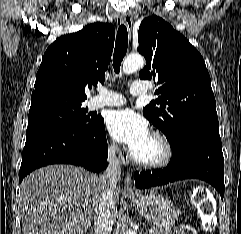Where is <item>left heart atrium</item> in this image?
Listing matches in <instances>:
<instances>
[{
    "label": "left heart atrium",
    "instance_id": "1",
    "mask_svg": "<svg viewBox=\"0 0 241 234\" xmlns=\"http://www.w3.org/2000/svg\"><path fill=\"white\" fill-rule=\"evenodd\" d=\"M110 134L124 143L130 152H137L149 139L147 121L132 110L125 109L112 112L107 119Z\"/></svg>",
    "mask_w": 241,
    "mask_h": 234
}]
</instances>
